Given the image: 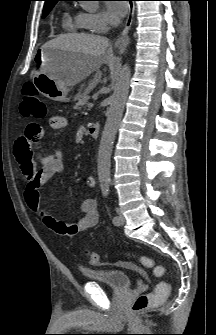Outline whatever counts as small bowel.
I'll return each instance as SVG.
<instances>
[{
  "instance_id": "obj_1",
  "label": "small bowel",
  "mask_w": 216,
  "mask_h": 335,
  "mask_svg": "<svg viewBox=\"0 0 216 335\" xmlns=\"http://www.w3.org/2000/svg\"><path fill=\"white\" fill-rule=\"evenodd\" d=\"M67 125V120L62 115L50 118V126L54 130H61ZM24 135L16 145V156L22 174L26 179L24 198L29 209L37 215L39 220L49 229L62 236H74L80 232L95 227L98 223L99 213L95 199L89 198L80 206L81 217L66 223L56 219L41 208L40 189L54 175L63 171V151L57 150L49 155L35 153L33 143L44 138L42 124H25ZM37 162L40 167L37 168ZM87 187H94L96 180L93 176H87L84 180Z\"/></svg>"
}]
</instances>
